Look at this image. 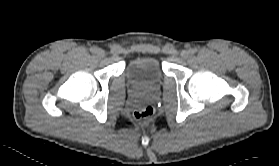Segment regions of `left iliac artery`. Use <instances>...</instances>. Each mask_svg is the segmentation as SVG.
Returning <instances> with one entry per match:
<instances>
[{
	"label": "left iliac artery",
	"instance_id": "1",
	"mask_svg": "<svg viewBox=\"0 0 279 166\" xmlns=\"http://www.w3.org/2000/svg\"><path fill=\"white\" fill-rule=\"evenodd\" d=\"M189 52H190L191 54H195V53L197 52V50H196V49H190Z\"/></svg>",
	"mask_w": 279,
	"mask_h": 166
}]
</instances>
